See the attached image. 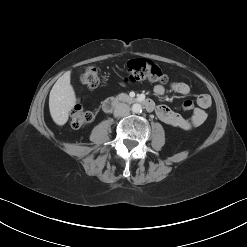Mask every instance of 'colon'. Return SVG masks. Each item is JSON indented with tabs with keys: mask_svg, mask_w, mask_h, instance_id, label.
I'll list each match as a JSON object with an SVG mask.
<instances>
[{
	"mask_svg": "<svg viewBox=\"0 0 247 247\" xmlns=\"http://www.w3.org/2000/svg\"><path fill=\"white\" fill-rule=\"evenodd\" d=\"M126 79L129 82L149 80L151 82L166 83L167 76L160 67L147 59L138 58L129 60L125 65ZM81 83L88 88H96L100 84L99 70L95 66L88 67L80 77ZM185 111L194 109V103L186 100L182 104ZM94 118L92 111L84 110L81 105L77 104L71 111L70 124L74 128H81L89 124Z\"/></svg>",
	"mask_w": 247,
	"mask_h": 247,
	"instance_id": "1",
	"label": "colon"
}]
</instances>
